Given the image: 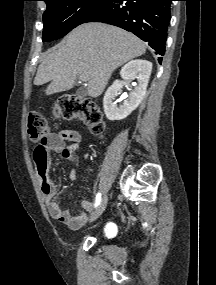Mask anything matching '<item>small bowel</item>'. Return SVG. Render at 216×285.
<instances>
[{
    "instance_id": "small-bowel-1",
    "label": "small bowel",
    "mask_w": 216,
    "mask_h": 285,
    "mask_svg": "<svg viewBox=\"0 0 216 285\" xmlns=\"http://www.w3.org/2000/svg\"><path fill=\"white\" fill-rule=\"evenodd\" d=\"M81 139V134L76 130H60L50 133L47 137L46 146L44 148L36 147L34 152V161L49 214L53 219L73 230L85 224L88 219V212L92 209L93 204L91 201L82 198L81 206L84 212L73 216L69 210L63 209L58 202L53 200L59 190V185L52 182L49 176L50 154L61 153L65 157L76 159ZM67 142L71 144L67 145Z\"/></svg>"
}]
</instances>
